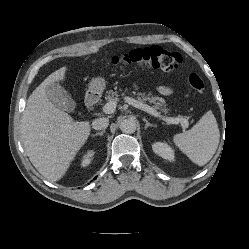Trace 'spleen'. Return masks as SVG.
Listing matches in <instances>:
<instances>
[{
  "label": "spleen",
  "mask_w": 249,
  "mask_h": 249,
  "mask_svg": "<svg viewBox=\"0 0 249 249\" xmlns=\"http://www.w3.org/2000/svg\"><path fill=\"white\" fill-rule=\"evenodd\" d=\"M220 140V132L212 111H207L190 130L174 135V144L190 160L203 166L215 154Z\"/></svg>",
  "instance_id": "obj_1"
}]
</instances>
